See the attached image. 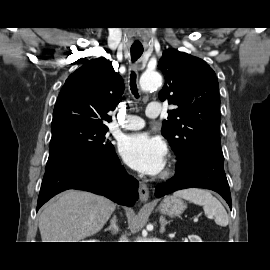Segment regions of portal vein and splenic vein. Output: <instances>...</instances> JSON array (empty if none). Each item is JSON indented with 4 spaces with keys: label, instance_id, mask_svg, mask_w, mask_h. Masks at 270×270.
I'll return each instance as SVG.
<instances>
[{
    "label": "portal vein and splenic vein",
    "instance_id": "portal-vein-and-splenic-vein-1",
    "mask_svg": "<svg viewBox=\"0 0 270 270\" xmlns=\"http://www.w3.org/2000/svg\"><path fill=\"white\" fill-rule=\"evenodd\" d=\"M207 218H210V217L207 216ZM194 222H195V223L198 222V218H197V217L194 218Z\"/></svg>",
    "mask_w": 270,
    "mask_h": 270
}]
</instances>
